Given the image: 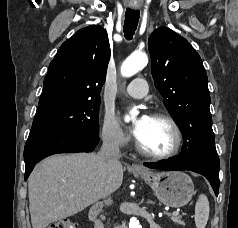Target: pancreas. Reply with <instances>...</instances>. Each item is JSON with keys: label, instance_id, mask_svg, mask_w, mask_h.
Wrapping results in <instances>:
<instances>
[{"label": "pancreas", "instance_id": "obj_1", "mask_svg": "<svg viewBox=\"0 0 238 228\" xmlns=\"http://www.w3.org/2000/svg\"><path fill=\"white\" fill-rule=\"evenodd\" d=\"M171 220L179 225H184V221L182 220L181 216L179 215H170Z\"/></svg>", "mask_w": 238, "mask_h": 228}]
</instances>
